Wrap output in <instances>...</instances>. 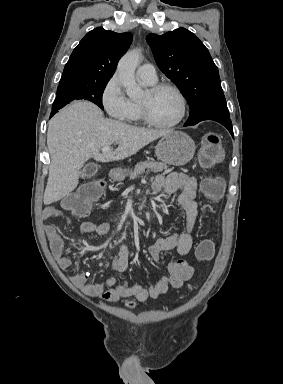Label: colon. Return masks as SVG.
Returning <instances> with one entry per match:
<instances>
[{"label":"colon","mask_w":283,"mask_h":384,"mask_svg":"<svg viewBox=\"0 0 283 384\" xmlns=\"http://www.w3.org/2000/svg\"><path fill=\"white\" fill-rule=\"evenodd\" d=\"M224 157L220 136L214 132L204 135L200 144V161L206 167H211ZM200 189L204 197L211 203L219 201L225 190V183L220 176H208L201 181ZM105 191V183L101 180L90 181L82 185L63 200V206L76 214L86 213L91 206L101 198ZM215 253V247L211 240H202L196 248V256L199 260H211ZM132 306L133 303L131 302Z\"/></svg>","instance_id":"colon-1"}]
</instances>
